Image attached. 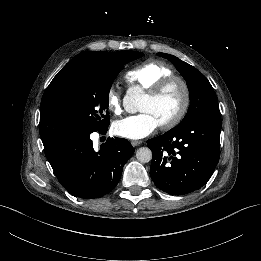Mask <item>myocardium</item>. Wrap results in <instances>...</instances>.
Listing matches in <instances>:
<instances>
[{
  "instance_id": "1",
  "label": "myocardium",
  "mask_w": 261,
  "mask_h": 261,
  "mask_svg": "<svg viewBox=\"0 0 261 261\" xmlns=\"http://www.w3.org/2000/svg\"><path fill=\"white\" fill-rule=\"evenodd\" d=\"M179 85L183 92V101L180 109L177 113L170 118L169 120L160 124L163 129H171L175 127L186 115L188 112L190 101H191V93L188 83L181 77L178 76H170L159 81L151 91L148 92L147 97L149 99L155 100L161 97L169 88Z\"/></svg>"
}]
</instances>
